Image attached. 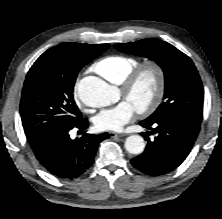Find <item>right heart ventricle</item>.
Segmentation results:
<instances>
[{
	"label": "right heart ventricle",
	"instance_id": "obj_1",
	"mask_svg": "<svg viewBox=\"0 0 222 219\" xmlns=\"http://www.w3.org/2000/svg\"><path fill=\"white\" fill-rule=\"evenodd\" d=\"M134 57L109 55L101 58L93 65V70L107 81L120 85L127 74L138 65Z\"/></svg>",
	"mask_w": 222,
	"mask_h": 219
}]
</instances>
